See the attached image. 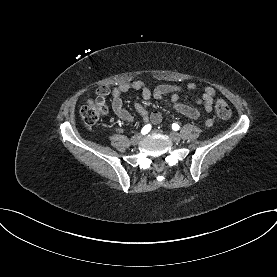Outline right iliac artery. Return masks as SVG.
I'll return each mask as SVG.
<instances>
[{"label":"right iliac artery","mask_w":277,"mask_h":277,"mask_svg":"<svg viewBox=\"0 0 277 277\" xmlns=\"http://www.w3.org/2000/svg\"><path fill=\"white\" fill-rule=\"evenodd\" d=\"M150 130H151V125L147 124L142 128L141 133L142 134H147Z\"/></svg>","instance_id":"obj_1"}]
</instances>
